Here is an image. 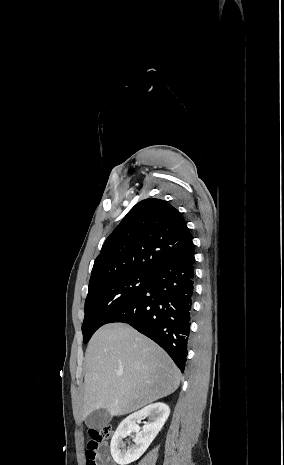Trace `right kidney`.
<instances>
[{
	"mask_svg": "<svg viewBox=\"0 0 284 465\" xmlns=\"http://www.w3.org/2000/svg\"><path fill=\"white\" fill-rule=\"evenodd\" d=\"M169 415L170 409L165 403H153V405H147L141 411H137V413H132V415L126 417L120 423L116 433H114L110 445L111 455L115 463L117 465H129V463L137 461L145 453L152 441H154L159 431H161ZM143 417H148L150 423H144L142 433H136L133 439L135 445H131L126 451L123 439L129 435V431H134L138 427L135 423L138 419H143Z\"/></svg>",
	"mask_w": 284,
	"mask_h": 465,
	"instance_id": "1",
	"label": "right kidney"
}]
</instances>
